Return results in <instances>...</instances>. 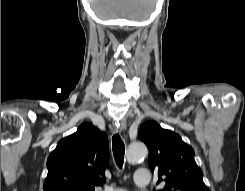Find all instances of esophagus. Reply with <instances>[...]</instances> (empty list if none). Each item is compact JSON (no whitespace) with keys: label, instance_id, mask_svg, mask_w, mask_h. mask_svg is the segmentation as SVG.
Segmentation results:
<instances>
[{"label":"esophagus","instance_id":"1","mask_svg":"<svg viewBox=\"0 0 245 191\" xmlns=\"http://www.w3.org/2000/svg\"><path fill=\"white\" fill-rule=\"evenodd\" d=\"M117 129L123 131L126 129V120L124 118L120 119L115 123Z\"/></svg>","mask_w":245,"mask_h":191}]
</instances>
